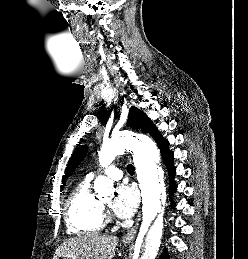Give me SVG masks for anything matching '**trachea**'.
Segmentation results:
<instances>
[{"label": "trachea", "instance_id": "obj_1", "mask_svg": "<svg viewBox=\"0 0 248 259\" xmlns=\"http://www.w3.org/2000/svg\"><path fill=\"white\" fill-rule=\"evenodd\" d=\"M127 171H128L129 174H133V173H134V167H133V165L129 164V165L127 166Z\"/></svg>", "mask_w": 248, "mask_h": 259}]
</instances>
